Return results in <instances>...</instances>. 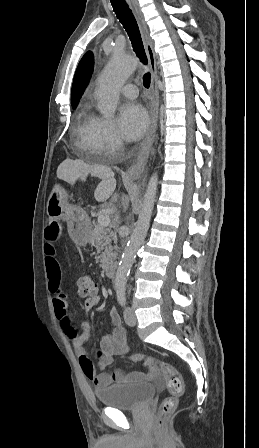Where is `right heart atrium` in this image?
Instances as JSON below:
<instances>
[{
	"label": "right heart atrium",
	"mask_w": 259,
	"mask_h": 448,
	"mask_svg": "<svg viewBox=\"0 0 259 448\" xmlns=\"http://www.w3.org/2000/svg\"><path fill=\"white\" fill-rule=\"evenodd\" d=\"M123 140L114 123L108 119H101L97 131V152L107 160L118 154L123 148Z\"/></svg>",
	"instance_id": "obj_1"
}]
</instances>
